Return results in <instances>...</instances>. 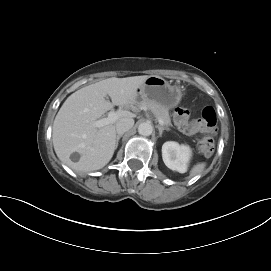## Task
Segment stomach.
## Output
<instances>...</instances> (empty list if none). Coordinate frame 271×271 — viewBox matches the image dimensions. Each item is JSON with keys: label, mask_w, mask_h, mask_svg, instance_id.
<instances>
[{"label": "stomach", "mask_w": 271, "mask_h": 271, "mask_svg": "<svg viewBox=\"0 0 271 271\" xmlns=\"http://www.w3.org/2000/svg\"><path fill=\"white\" fill-rule=\"evenodd\" d=\"M183 96L180 86L171 85L164 78L156 75L149 76L137 91V98L142 101L155 102L166 109L174 108Z\"/></svg>", "instance_id": "obj_1"}]
</instances>
